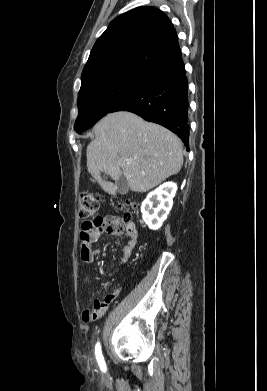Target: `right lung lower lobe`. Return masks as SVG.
<instances>
[{"label": "right lung lower lobe", "mask_w": 267, "mask_h": 391, "mask_svg": "<svg viewBox=\"0 0 267 391\" xmlns=\"http://www.w3.org/2000/svg\"><path fill=\"white\" fill-rule=\"evenodd\" d=\"M116 111L133 112L170 129L189 150L188 82L182 56L152 70L110 113Z\"/></svg>", "instance_id": "98d812e1"}]
</instances>
